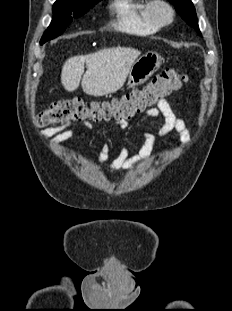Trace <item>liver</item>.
Masks as SVG:
<instances>
[{
    "label": "liver",
    "instance_id": "6515ba94",
    "mask_svg": "<svg viewBox=\"0 0 232 311\" xmlns=\"http://www.w3.org/2000/svg\"><path fill=\"white\" fill-rule=\"evenodd\" d=\"M140 51L128 47H112L87 55H78L65 61L61 83L68 92L80 84L87 95L100 97L119 90L125 83ZM86 72L84 73V65Z\"/></svg>",
    "mask_w": 232,
    "mask_h": 311
}]
</instances>
